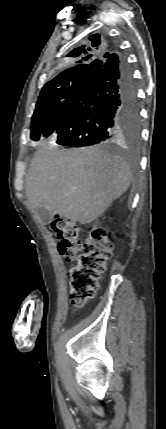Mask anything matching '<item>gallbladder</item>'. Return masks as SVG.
Masks as SVG:
<instances>
[{
  "label": "gallbladder",
  "instance_id": "bac80fb5",
  "mask_svg": "<svg viewBox=\"0 0 166 429\" xmlns=\"http://www.w3.org/2000/svg\"><path fill=\"white\" fill-rule=\"evenodd\" d=\"M37 214L40 216L44 224H48L51 220V213L44 207H39L36 209Z\"/></svg>",
  "mask_w": 166,
  "mask_h": 429
}]
</instances>
